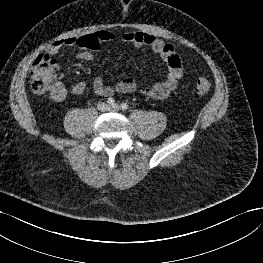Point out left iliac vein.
<instances>
[{"label":"left iliac vein","mask_w":263,"mask_h":263,"mask_svg":"<svg viewBox=\"0 0 263 263\" xmlns=\"http://www.w3.org/2000/svg\"><path fill=\"white\" fill-rule=\"evenodd\" d=\"M109 110L119 111L120 110V106L115 103V104L109 106Z\"/></svg>","instance_id":"1"}]
</instances>
